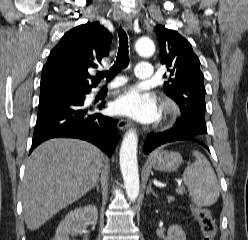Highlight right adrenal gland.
I'll return each instance as SVG.
<instances>
[{"label":"right adrenal gland","instance_id":"right-adrenal-gland-1","mask_svg":"<svg viewBox=\"0 0 248 240\" xmlns=\"http://www.w3.org/2000/svg\"><path fill=\"white\" fill-rule=\"evenodd\" d=\"M95 187H96L97 192H99V179L96 181L93 188H95Z\"/></svg>","mask_w":248,"mask_h":240}]
</instances>
